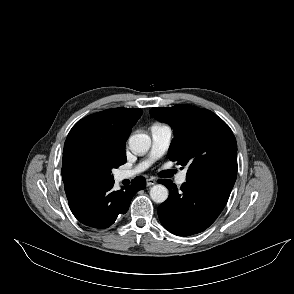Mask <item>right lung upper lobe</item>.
<instances>
[{
	"label": "right lung upper lobe",
	"instance_id": "cb5924a9",
	"mask_svg": "<svg viewBox=\"0 0 294 294\" xmlns=\"http://www.w3.org/2000/svg\"><path fill=\"white\" fill-rule=\"evenodd\" d=\"M142 115L138 108H114L91 114L79 120L69 132L63 149V160L79 147H105L125 150L131 128ZM66 189L68 184L64 182Z\"/></svg>",
	"mask_w": 294,
	"mask_h": 294
}]
</instances>
